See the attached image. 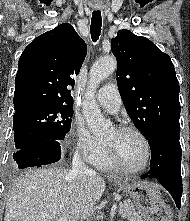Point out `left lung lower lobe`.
<instances>
[{"label":"left lung lower lobe","mask_w":190,"mask_h":221,"mask_svg":"<svg viewBox=\"0 0 190 221\" xmlns=\"http://www.w3.org/2000/svg\"><path fill=\"white\" fill-rule=\"evenodd\" d=\"M180 129L158 130L148 140L151 148L150 172L142 176L157 179L172 195L178 208L181 206V146Z\"/></svg>","instance_id":"0a47b994"}]
</instances>
